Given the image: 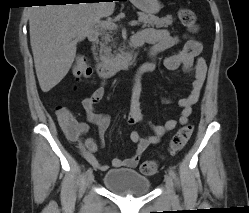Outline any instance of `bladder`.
<instances>
[{"mask_svg": "<svg viewBox=\"0 0 249 213\" xmlns=\"http://www.w3.org/2000/svg\"><path fill=\"white\" fill-rule=\"evenodd\" d=\"M104 187L119 196H141L150 192L151 180L133 169H113L103 178Z\"/></svg>", "mask_w": 249, "mask_h": 213, "instance_id": "obj_1", "label": "bladder"}]
</instances>
